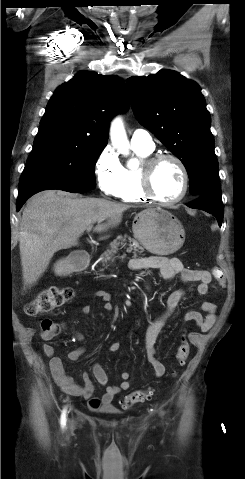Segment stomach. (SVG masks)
Here are the masks:
<instances>
[{
	"label": "stomach",
	"instance_id": "0dacf381",
	"mask_svg": "<svg viewBox=\"0 0 245 479\" xmlns=\"http://www.w3.org/2000/svg\"><path fill=\"white\" fill-rule=\"evenodd\" d=\"M135 238L151 253L168 255L181 248L185 241V231L181 222L170 212L149 208L139 212L132 225ZM54 271L64 276L71 272L66 259L59 260Z\"/></svg>",
	"mask_w": 245,
	"mask_h": 479
}]
</instances>
